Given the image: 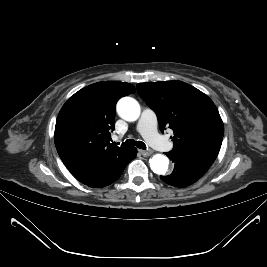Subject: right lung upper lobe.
Instances as JSON below:
<instances>
[{
    "label": "right lung upper lobe",
    "instance_id": "cb5924a9",
    "mask_svg": "<svg viewBox=\"0 0 267 267\" xmlns=\"http://www.w3.org/2000/svg\"><path fill=\"white\" fill-rule=\"evenodd\" d=\"M135 92L122 82H98L76 92L57 117L54 140L58 154L74 177L86 183L130 148L110 143L117 101Z\"/></svg>",
    "mask_w": 267,
    "mask_h": 267
}]
</instances>
